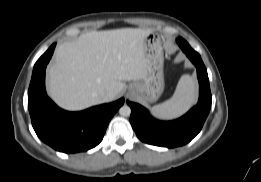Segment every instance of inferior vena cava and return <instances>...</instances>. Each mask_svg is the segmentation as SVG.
Here are the masks:
<instances>
[{
  "mask_svg": "<svg viewBox=\"0 0 261 182\" xmlns=\"http://www.w3.org/2000/svg\"><path fill=\"white\" fill-rule=\"evenodd\" d=\"M110 96H111V94L109 92L105 94L106 99L110 98Z\"/></svg>",
  "mask_w": 261,
  "mask_h": 182,
  "instance_id": "obj_1",
  "label": "inferior vena cava"
}]
</instances>
